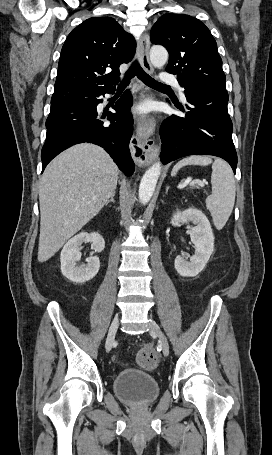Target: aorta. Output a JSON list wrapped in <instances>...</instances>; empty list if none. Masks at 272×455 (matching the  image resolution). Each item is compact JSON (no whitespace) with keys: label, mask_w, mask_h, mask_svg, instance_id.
Masks as SVG:
<instances>
[{"label":"aorta","mask_w":272,"mask_h":455,"mask_svg":"<svg viewBox=\"0 0 272 455\" xmlns=\"http://www.w3.org/2000/svg\"><path fill=\"white\" fill-rule=\"evenodd\" d=\"M168 60V52L162 46H153L150 50V61L156 68H161ZM161 163L155 162L143 175L139 186V200L142 204H147L153 193L160 176Z\"/></svg>","instance_id":"762f6f07"}]
</instances>
